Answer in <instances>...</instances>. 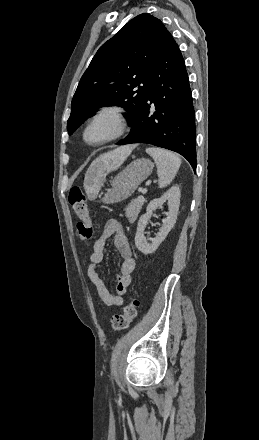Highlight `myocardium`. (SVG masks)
<instances>
[{"mask_svg":"<svg viewBox=\"0 0 259 440\" xmlns=\"http://www.w3.org/2000/svg\"><path fill=\"white\" fill-rule=\"evenodd\" d=\"M108 118L114 124L113 133L99 141H89L86 137L88 129L99 119ZM129 128V120L125 107L117 104L103 106L92 113L84 123L81 130L82 141L91 147H98L120 139Z\"/></svg>","mask_w":259,"mask_h":440,"instance_id":"myocardium-1","label":"myocardium"}]
</instances>
